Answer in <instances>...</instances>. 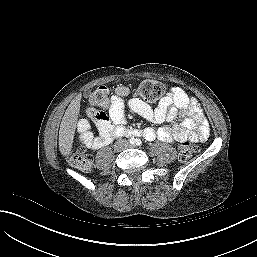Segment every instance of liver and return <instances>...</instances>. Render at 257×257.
<instances>
[{"mask_svg": "<svg viewBox=\"0 0 257 257\" xmlns=\"http://www.w3.org/2000/svg\"><path fill=\"white\" fill-rule=\"evenodd\" d=\"M81 95H77L69 104L62 118L59 130V150L68 156L72 150L76 124L80 111Z\"/></svg>", "mask_w": 257, "mask_h": 257, "instance_id": "6515ba94", "label": "liver"}]
</instances>
